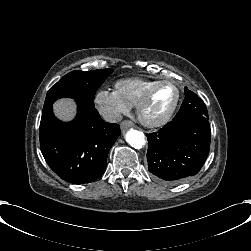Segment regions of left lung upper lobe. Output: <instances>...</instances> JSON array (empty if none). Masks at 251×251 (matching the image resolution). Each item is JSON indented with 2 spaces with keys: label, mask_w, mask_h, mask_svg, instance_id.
<instances>
[{
  "label": "left lung upper lobe",
  "mask_w": 251,
  "mask_h": 251,
  "mask_svg": "<svg viewBox=\"0 0 251 251\" xmlns=\"http://www.w3.org/2000/svg\"><path fill=\"white\" fill-rule=\"evenodd\" d=\"M184 91L185 100L183 101L180 110L174 119L190 115H198L208 118V111L203 101L187 87L184 88Z\"/></svg>",
  "instance_id": "obj_1"
}]
</instances>
